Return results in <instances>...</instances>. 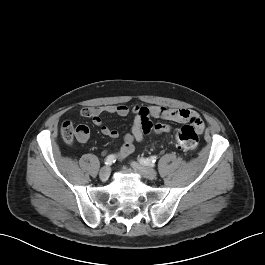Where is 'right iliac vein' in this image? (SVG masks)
<instances>
[{"instance_id":"1","label":"right iliac vein","mask_w":265,"mask_h":265,"mask_svg":"<svg viewBox=\"0 0 265 265\" xmlns=\"http://www.w3.org/2000/svg\"><path fill=\"white\" fill-rule=\"evenodd\" d=\"M110 175V168L108 166L103 167L99 172V177L102 181L108 180Z\"/></svg>"}]
</instances>
